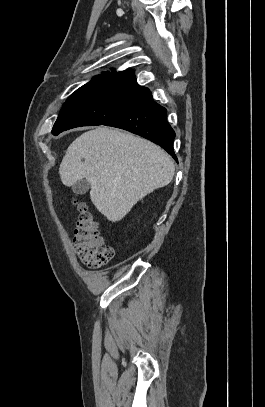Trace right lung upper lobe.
<instances>
[{
  "label": "right lung upper lobe",
  "instance_id": "obj_1",
  "mask_svg": "<svg viewBox=\"0 0 265 407\" xmlns=\"http://www.w3.org/2000/svg\"><path fill=\"white\" fill-rule=\"evenodd\" d=\"M97 77H109L137 83L134 72L132 70H125L120 72L113 71L112 73L106 72V74L99 75Z\"/></svg>",
  "mask_w": 265,
  "mask_h": 407
}]
</instances>
